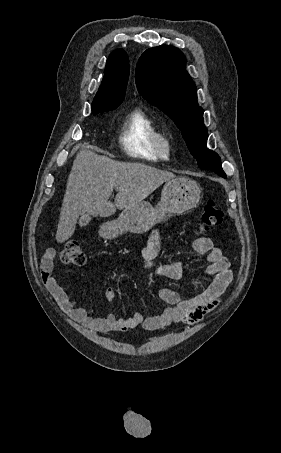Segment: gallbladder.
Listing matches in <instances>:
<instances>
[{
    "mask_svg": "<svg viewBox=\"0 0 281 453\" xmlns=\"http://www.w3.org/2000/svg\"><path fill=\"white\" fill-rule=\"evenodd\" d=\"M89 220H90V216H88V214H84V216H81L80 218V222H79V227L80 228H85L89 225Z\"/></svg>",
    "mask_w": 281,
    "mask_h": 453,
    "instance_id": "bac80fb5",
    "label": "gallbladder"
}]
</instances>
